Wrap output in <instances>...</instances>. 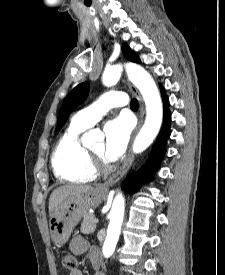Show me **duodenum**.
I'll use <instances>...</instances> for the list:
<instances>
[{"label":"duodenum","mask_w":225,"mask_h":275,"mask_svg":"<svg viewBox=\"0 0 225 275\" xmlns=\"http://www.w3.org/2000/svg\"><path fill=\"white\" fill-rule=\"evenodd\" d=\"M91 261H92V266H93L95 269H98V267H99L98 260L95 259L94 257H92Z\"/></svg>","instance_id":"duodenum-1"}]
</instances>
